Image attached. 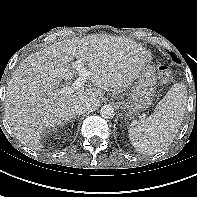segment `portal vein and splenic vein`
<instances>
[{
  "label": "portal vein and splenic vein",
  "mask_w": 197,
  "mask_h": 197,
  "mask_svg": "<svg viewBox=\"0 0 197 197\" xmlns=\"http://www.w3.org/2000/svg\"><path fill=\"white\" fill-rule=\"evenodd\" d=\"M83 61V59H78L77 61L72 63V67L79 72V77L76 79L74 83H72L71 86H66L57 89L54 93L55 96L63 94H72L85 84L86 80L88 79L91 73L83 66Z\"/></svg>",
  "instance_id": "18ae733b"
}]
</instances>
